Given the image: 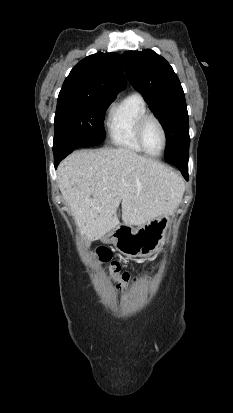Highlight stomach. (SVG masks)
Returning a JSON list of instances; mask_svg holds the SVG:
<instances>
[{"label": "stomach", "instance_id": "1", "mask_svg": "<svg viewBox=\"0 0 233 413\" xmlns=\"http://www.w3.org/2000/svg\"><path fill=\"white\" fill-rule=\"evenodd\" d=\"M170 222L169 216L163 215L137 228L121 224L102 236L101 241L114 244L119 252L128 257L149 256L164 244Z\"/></svg>", "mask_w": 233, "mask_h": 413}]
</instances>
